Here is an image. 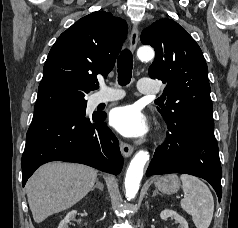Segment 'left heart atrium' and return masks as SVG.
<instances>
[{"instance_id": "obj_1", "label": "left heart atrium", "mask_w": 238, "mask_h": 228, "mask_svg": "<svg viewBox=\"0 0 238 228\" xmlns=\"http://www.w3.org/2000/svg\"><path fill=\"white\" fill-rule=\"evenodd\" d=\"M111 125L126 137H141L148 132V121L134 105L115 108L110 115Z\"/></svg>"}]
</instances>
